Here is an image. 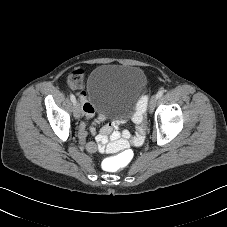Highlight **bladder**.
Returning <instances> with one entry per match:
<instances>
[{
    "mask_svg": "<svg viewBox=\"0 0 227 227\" xmlns=\"http://www.w3.org/2000/svg\"><path fill=\"white\" fill-rule=\"evenodd\" d=\"M145 86L143 72L134 66L99 65L87 82L85 95L96 111L110 120L131 118Z\"/></svg>",
    "mask_w": 227,
    "mask_h": 227,
    "instance_id": "obj_1",
    "label": "bladder"
}]
</instances>
